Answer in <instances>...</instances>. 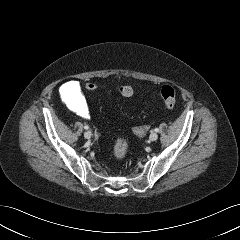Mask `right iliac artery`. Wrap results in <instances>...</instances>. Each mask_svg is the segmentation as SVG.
Returning <instances> with one entry per match:
<instances>
[{
    "label": "right iliac artery",
    "instance_id": "obj_1",
    "mask_svg": "<svg viewBox=\"0 0 240 240\" xmlns=\"http://www.w3.org/2000/svg\"><path fill=\"white\" fill-rule=\"evenodd\" d=\"M84 129L88 130V129H89V126H88V125H85V126H84Z\"/></svg>",
    "mask_w": 240,
    "mask_h": 240
}]
</instances>
